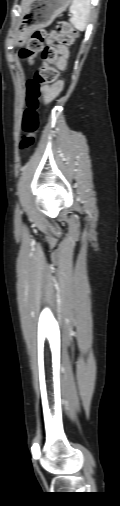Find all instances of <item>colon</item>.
Here are the masks:
<instances>
[{
  "label": "colon",
  "instance_id": "obj_1",
  "mask_svg": "<svg viewBox=\"0 0 120 506\" xmlns=\"http://www.w3.org/2000/svg\"><path fill=\"white\" fill-rule=\"evenodd\" d=\"M44 32H34L27 43L25 49L20 53V57L31 63L33 57L41 53L43 64L37 69L33 79L29 80L26 88V107L23 113L22 129L24 132L21 148L29 149L34 143V135L39 128L40 99L42 95V86L53 83L58 77V71L53 67L57 59L59 45H72L77 38L78 32L67 22H60L55 37V43L44 45Z\"/></svg>",
  "mask_w": 120,
  "mask_h": 506
}]
</instances>
